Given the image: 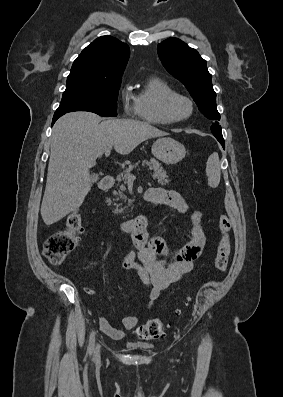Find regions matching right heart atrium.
I'll use <instances>...</instances> for the list:
<instances>
[{
	"mask_svg": "<svg viewBox=\"0 0 283 397\" xmlns=\"http://www.w3.org/2000/svg\"><path fill=\"white\" fill-rule=\"evenodd\" d=\"M119 100L122 112L126 117H134L138 114L135 96L131 93L128 86H122L119 91Z\"/></svg>",
	"mask_w": 283,
	"mask_h": 397,
	"instance_id": "obj_1",
	"label": "right heart atrium"
}]
</instances>
